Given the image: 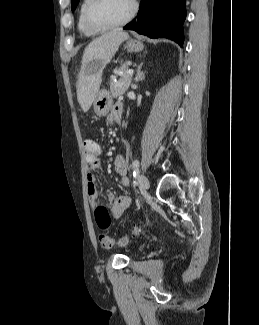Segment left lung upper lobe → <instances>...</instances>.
<instances>
[{
    "instance_id": "obj_1",
    "label": "left lung upper lobe",
    "mask_w": 259,
    "mask_h": 325,
    "mask_svg": "<svg viewBox=\"0 0 259 325\" xmlns=\"http://www.w3.org/2000/svg\"><path fill=\"white\" fill-rule=\"evenodd\" d=\"M78 2H79V0H72V1H71V5H72V11H74V10H75V8H76V6H77Z\"/></svg>"
}]
</instances>
